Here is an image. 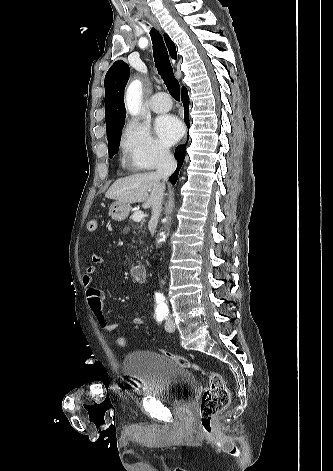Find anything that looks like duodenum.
I'll list each match as a JSON object with an SVG mask.
<instances>
[{
  "label": "duodenum",
  "instance_id": "duodenum-1",
  "mask_svg": "<svg viewBox=\"0 0 333 471\" xmlns=\"http://www.w3.org/2000/svg\"><path fill=\"white\" fill-rule=\"evenodd\" d=\"M132 278L137 282H144L146 278V270L143 265H135L130 270Z\"/></svg>",
  "mask_w": 333,
  "mask_h": 471
}]
</instances>
